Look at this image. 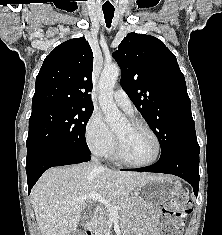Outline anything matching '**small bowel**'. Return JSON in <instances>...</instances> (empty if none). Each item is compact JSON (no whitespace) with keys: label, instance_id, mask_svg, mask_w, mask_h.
Instances as JSON below:
<instances>
[{"label":"small bowel","instance_id":"small-bowel-1","mask_svg":"<svg viewBox=\"0 0 222 235\" xmlns=\"http://www.w3.org/2000/svg\"><path fill=\"white\" fill-rule=\"evenodd\" d=\"M159 220V213L152 211L147 222L146 228L137 235H157V224Z\"/></svg>","mask_w":222,"mask_h":235}]
</instances>
